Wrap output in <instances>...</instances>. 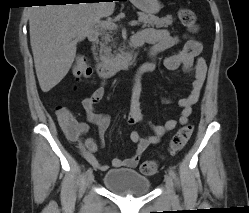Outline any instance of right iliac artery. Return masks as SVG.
Listing matches in <instances>:
<instances>
[{"instance_id":"1","label":"right iliac artery","mask_w":249,"mask_h":213,"mask_svg":"<svg viewBox=\"0 0 249 213\" xmlns=\"http://www.w3.org/2000/svg\"><path fill=\"white\" fill-rule=\"evenodd\" d=\"M93 171H92V168H89L86 172L87 175L91 174Z\"/></svg>"}]
</instances>
